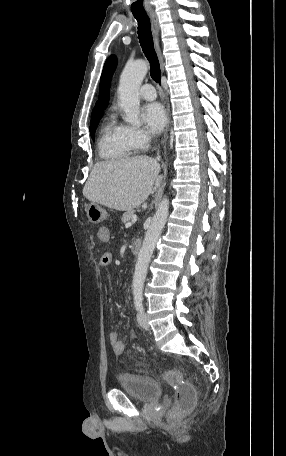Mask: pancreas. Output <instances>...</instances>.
Masks as SVG:
<instances>
[{
    "mask_svg": "<svg viewBox=\"0 0 286 456\" xmlns=\"http://www.w3.org/2000/svg\"><path fill=\"white\" fill-rule=\"evenodd\" d=\"M133 215H135V211L134 210L127 211V212H125L123 214V216L121 218V221L123 223H128L132 219Z\"/></svg>",
    "mask_w": 286,
    "mask_h": 456,
    "instance_id": "obj_1",
    "label": "pancreas"
}]
</instances>
